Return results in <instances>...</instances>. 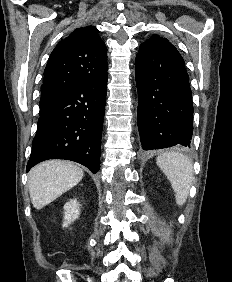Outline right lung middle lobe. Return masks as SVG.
Masks as SVG:
<instances>
[{
    "instance_id": "obj_1",
    "label": "right lung middle lobe",
    "mask_w": 232,
    "mask_h": 282,
    "mask_svg": "<svg viewBox=\"0 0 232 282\" xmlns=\"http://www.w3.org/2000/svg\"><path fill=\"white\" fill-rule=\"evenodd\" d=\"M54 102L55 100L52 98L40 99V114H43L46 110H48Z\"/></svg>"
}]
</instances>
